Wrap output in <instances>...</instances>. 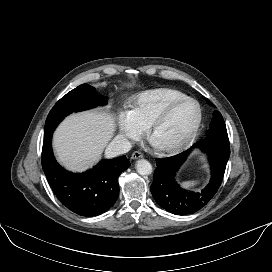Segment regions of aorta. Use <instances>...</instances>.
Here are the masks:
<instances>
[{
    "instance_id": "762f6f07",
    "label": "aorta",
    "mask_w": 272,
    "mask_h": 272,
    "mask_svg": "<svg viewBox=\"0 0 272 272\" xmlns=\"http://www.w3.org/2000/svg\"><path fill=\"white\" fill-rule=\"evenodd\" d=\"M136 170L140 175H150L152 173V165L145 159H140L136 163Z\"/></svg>"
}]
</instances>
